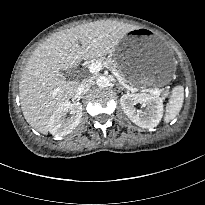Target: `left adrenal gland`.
I'll return each instance as SVG.
<instances>
[{
  "mask_svg": "<svg viewBox=\"0 0 205 205\" xmlns=\"http://www.w3.org/2000/svg\"><path fill=\"white\" fill-rule=\"evenodd\" d=\"M119 90H124V87L120 86L119 83L116 84Z\"/></svg>",
  "mask_w": 205,
  "mask_h": 205,
  "instance_id": "a2214340",
  "label": "left adrenal gland"
}]
</instances>
